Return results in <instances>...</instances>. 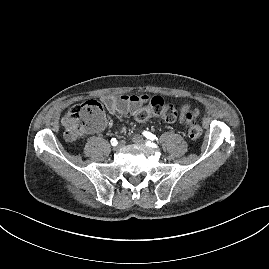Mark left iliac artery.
<instances>
[{"label": "left iliac artery", "instance_id": "1", "mask_svg": "<svg viewBox=\"0 0 269 269\" xmlns=\"http://www.w3.org/2000/svg\"><path fill=\"white\" fill-rule=\"evenodd\" d=\"M143 135L147 138V139H150V140H158V138L152 134L151 132H148V131H144L143 132Z\"/></svg>", "mask_w": 269, "mask_h": 269}]
</instances>
